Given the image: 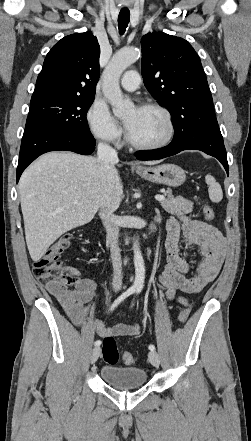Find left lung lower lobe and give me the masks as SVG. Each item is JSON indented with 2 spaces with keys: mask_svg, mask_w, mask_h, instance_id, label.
I'll return each instance as SVG.
<instances>
[{
  "mask_svg": "<svg viewBox=\"0 0 251 441\" xmlns=\"http://www.w3.org/2000/svg\"><path fill=\"white\" fill-rule=\"evenodd\" d=\"M200 150L217 158L229 173L227 154L216 116L198 114L175 130L172 142L163 148L143 151L136 155L139 160H157L184 150Z\"/></svg>",
  "mask_w": 251,
  "mask_h": 441,
  "instance_id": "left-lung-lower-lobe-1",
  "label": "left lung lower lobe"
}]
</instances>
